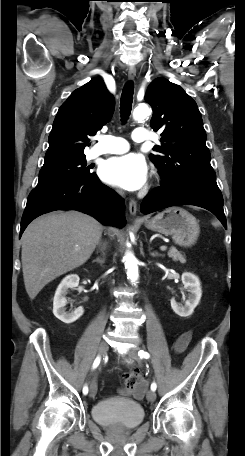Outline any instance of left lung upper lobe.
<instances>
[{
  "label": "left lung upper lobe",
  "mask_w": 245,
  "mask_h": 456,
  "mask_svg": "<svg viewBox=\"0 0 245 456\" xmlns=\"http://www.w3.org/2000/svg\"><path fill=\"white\" fill-rule=\"evenodd\" d=\"M145 100L153 109L151 127L163 131L161 146H155L156 153L150 154L162 179L217 185L196 102L163 77L150 83Z\"/></svg>",
  "instance_id": "obj_1"
}]
</instances>
